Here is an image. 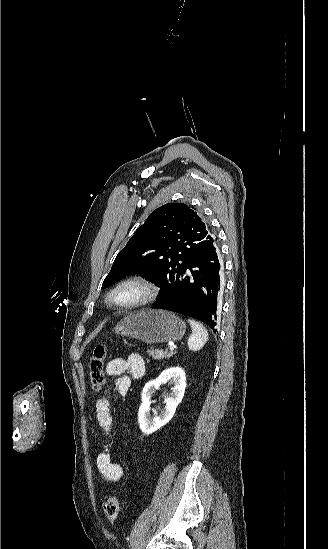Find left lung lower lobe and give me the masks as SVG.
Returning <instances> with one entry per match:
<instances>
[{
	"instance_id": "1",
	"label": "left lung lower lobe",
	"mask_w": 328,
	"mask_h": 549,
	"mask_svg": "<svg viewBox=\"0 0 328 549\" xmlns=\"http://www.w3.org/2000/svg\"><path fill=\"white\" fill-rule=\"evenodd\" d=\"M220 266L219 250L211 243L188 264L171 293L158 299L152 308L202 320L216 332L219 296L223 289Z\"/></svg>"
}]
</instances>
